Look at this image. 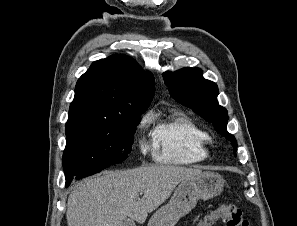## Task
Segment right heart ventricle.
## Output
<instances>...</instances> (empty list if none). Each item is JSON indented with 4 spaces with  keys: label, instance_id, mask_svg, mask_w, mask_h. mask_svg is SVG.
I'll return each mask as SVG.
<instances>
[{
    "label": "right heart ventricle",
    "instance_id": "right-heart-ventricle-1",
    "mask_svg": "<svg viewBox=\"0 0 297 226\" xmlns=\"http://www.w3.org/2000/svg\"><path fill=\"white\" fill-rule=\"evenodd\" d=\"M211 137L184 114L159 121L153 131L155 159L164 164L191 165L208 158Z\"/></svg>",
    "mask_w": 297,
    "mask_h": 226
}]
</instances>
